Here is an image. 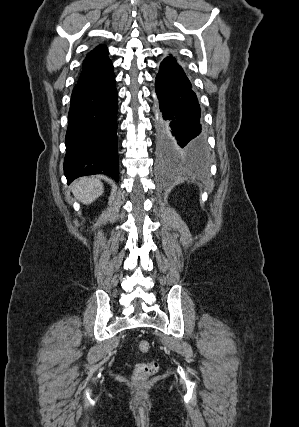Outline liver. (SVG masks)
Here are the masks:
<instances>
[{
    "label": "liver",
    "mask_w": 299,
    "mask_h": 427,
    "mask_svg": "<svg viewBox=\"0 0 299 427\" xmlns=\"http://www.w3.org/2000/svg\"><path fill=\"white\" fill-rule=\"evenodd\" d=\"M74 196L83 204H90L103 193L102 182L95 177H83L71 184Z\"/></svg>",
    "instance_id": "1"
}]
</instances>
